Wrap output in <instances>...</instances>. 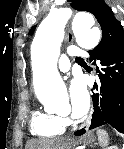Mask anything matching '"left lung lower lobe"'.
<instances>
[{
    "label": "left lung lower lobe",
    "mask_w": 124,
    "mask_h": 149,
    "mask_svg": "<svg viewBox=\"0 0 124 149\" xmlns=\"http://www.w3.org/2000/svg\"><path fill=\"white\" fill-rule=\"evenodd\" d=\"M89 53L92 59L100 60L96 68L99 81L94 84L98 93L92 95L94 112L89 129L110 125L124 133V44Z\"/></svg>",
    "instance_id": "1"
}]
</instances>
